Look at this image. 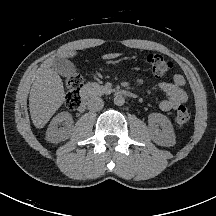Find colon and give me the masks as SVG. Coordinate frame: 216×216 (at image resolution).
Returning <instances> with one entry per match:
<instances>
[{"mask_svg":"<svg viewBox=\"0 0 216 216\" xmlns=\"http://www.w3.org/2000/svg\"><path fill=\"white\" fill-rule=\"evenodd\" d=\"M146 62L152 73L158 77L166 76L173 67L171 61L159 54H149L146 57ZM66 96L65 104L68 109L75 110L81 102L80 90L82 87V78L78 74H70L65 79ZM190 121V113L185 106H180L177 109L175 116V126L178 129L187 127Z\"/></svg>","mask_w":216,"mask_h":216,"instance_id":"1","label":"colon"}]
</instances>
